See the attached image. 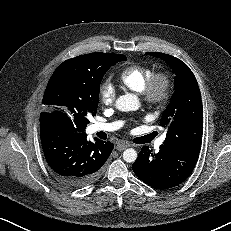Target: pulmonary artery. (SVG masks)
<instances>
[{"instance_id": "pulmonary-artery-1", "label": "pulmonary artery", "mask_w": 231, "mask_h": 231, "mask_svg": "<svg viewBox=\"0 0 231 231\" xmlns=\"http://www.w3.org/2000/svg\"><path fill=\"white\" fill-rule=\"evenodd\" d=\"M121 125H122V122H119V121L112 122V123H94L90 127V132H93V133L99 132V131L111 132V131H114L120 128ZM162 143H163V138L159 139L156 142L155 147L158 149Z\"/></svg>"}]
</instances>
